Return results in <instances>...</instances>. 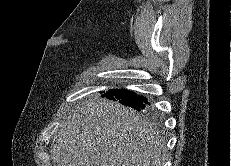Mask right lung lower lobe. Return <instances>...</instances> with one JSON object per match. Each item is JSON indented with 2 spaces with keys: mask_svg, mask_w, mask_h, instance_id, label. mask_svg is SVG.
<instances>
[{
  "mask_svg": "<svg viewBox=\"0 0 231 166\" xmlns=\"http://www.w3.org/2000/svg\"><path fill=\"white\" fill-rule=\"evenodd\" d=\"M102 96L132 107L137 111L148 109L150 105L147 98L127 89H111Z\"/></svg>",
  "mask_w": 231,
  "mask_h": 166,
  "instance_id": "obj_1",
  "label": "right lung lower lobe"
}]
</instances>
